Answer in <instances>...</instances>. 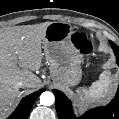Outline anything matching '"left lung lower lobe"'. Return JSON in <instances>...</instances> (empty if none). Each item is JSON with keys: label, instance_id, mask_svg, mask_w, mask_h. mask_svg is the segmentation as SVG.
I'll use <instances>...</instances> for the list:
<instances>
[{"label": "left lung lower lobe", "instance_id": "obj_1", "mask_svg": "<svg viewBox=\"0 0 119 119\" xmlns=\"http://www.w3.org/2000/svg\"><path fill=\"white\" fill-rule=\"evenodd\" d=\"M117 58L119 66V47L113 42H110ZM56 97V110L59 119H119V88L115 98L105 107H98L89 110L81 117H76L71 101L64 93L56 89L53 90Z\"/></svg>", "mask_w": 119, "mask_h": 119}]
</instances>
